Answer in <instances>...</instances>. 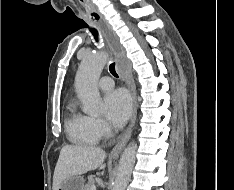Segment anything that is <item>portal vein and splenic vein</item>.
<instances>
[{"label":"portal vein and splenic vein","instance_id":"1","mask_svg":"<svg viewBox=\"0 0 234 190\" xmlns=\"http://www.w3.org/2000/svg\"><path fill=\"white\" fill-rule=\"evenodd\" d=\"M91 190H96V186H95V185L92 186V187H91Z\"/></svg>","mask_w":234,"mask_h":190}]
</instances>
